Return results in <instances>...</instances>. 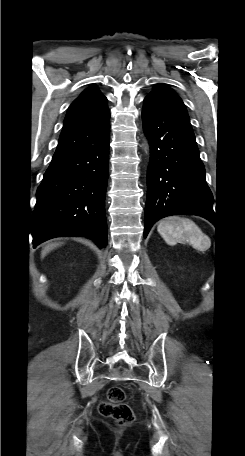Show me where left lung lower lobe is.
<instances>
[{"instance_id": "obj_1", "label": "left lung lower lobe", "mask_w": 245, "mask_h": 456, "mask_svg": "<svg viewBox=\"0 0 245 456\" xmlns=\"http://www.w3.org/2000/svg\"><path fill=\"white\" fill-rule=\"evenodd\" d=\"M142 121L151 146L144 238L166 216L198 215L211 220L213 196L188 114L145 98Z\"/></svg>"}]
</instances>
